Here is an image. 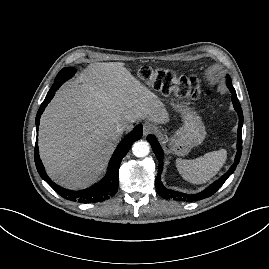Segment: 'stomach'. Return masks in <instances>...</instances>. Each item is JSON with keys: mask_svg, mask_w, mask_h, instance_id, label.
Instances as JSON below:
<instances>
[{"mask_svg": "<svg viewBox=\"0 0 269 269\" xmlns=\"http://www.w3.org/2000/svg\"><path fill=\"white\" fill-rule=\"evenodd\" d=\"M182 112L184 124L170 138L164 137L170 152L185 156L195 146L200 145L206 138L205 126L196 112L186 106H178Z\"/></svg>", "mask_w": 269, "mask_h": 269, "instance_id": "obj_1", "label": "stomach"}]
</instances>
